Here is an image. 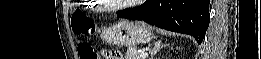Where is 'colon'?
<instances>
[{"label": "colon", "mask_w": 261, "mask_h": 59, "mask_svg": "<svg viewBox=\"0 0 261 59\" xmlns=\"http://www.w3.org/2000/svg\"><path fill=\"white\" fill-rule=\"evenodd\" d=\"M72 31L76 35L80 36H93L96 32V24L92 18L83 15L80 12H76L71 18ZM78 53L81 59H98L99 55L94 48L86 43L80 42L78 45ZM104 58L114 59L115 55L111 52L104 53Z\"/></svg>", "instance_id": "1"}]
</instances>
